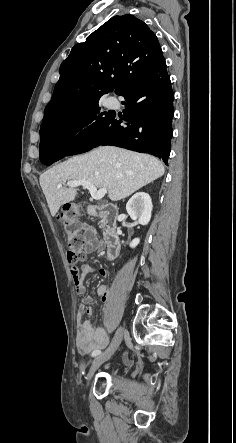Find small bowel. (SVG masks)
I'll return each mask as SVG.
<instances>
[{"label": "small bowel", "instance_id": "c3829d8e", "mask_svg": "<svg viewBox=\"0 0 236 443\" xmlns=\"http://www.w3.org/2000/svg\"><path fill=\"white\" fill-rule=\"evenodd\" d=\"M82 239L84 243V250L87 253L99 254L102 250L103 243L98 237L94 228L85 226L83 228ZM93 272V268L89 265H84L82 270L77 267L71 268V274L74 281L75 291L79 295L86 293V286L83 280V274ZM109 271L106 267H102L99 270V274L102 277H106ZM109 293V285H101L97 289V294L103 299H106ZM93 298L85 296L79 306V317L84 313L87 315H93L94 310L92 307L87 306L93 303ZM108 343V338L105 329L97 325L93 320L80 321L76 333V348L81 354L93 352L104 348Z\"/></svg>", "mask_w": 236, "mask_h": 443}]
</instances>
